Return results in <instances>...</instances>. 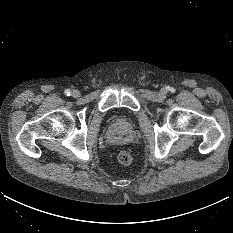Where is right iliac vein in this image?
<instances>
[{
    "instance_id": "right-iliac-vein-1",
    "label": "right iliac vein",
    "mask_w": 233,
    "mask_h": 233,
    "mask_svg": "<svg viewBox=\"0 0 233 233\" xmlns=\"http://www.w3.org/2000/svg\"><path fill=\"white\" fill-rule=\"evenodd\" d=\"M72 96H73L74 98H78V97L80 96V92H79L78 90H73V91H72Z\"/></svg>"
}]
</instances>
